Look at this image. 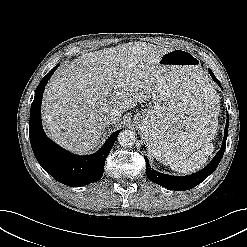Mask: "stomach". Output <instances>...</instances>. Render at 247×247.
Returning <instances> with one entry per match:
<instances>
[{
	"label": "stomach",
	"mask_w": 247,
	"mask_h": 247,
	"mask_svg": "<svg viewBox=\"0 0 247 247\" xmlns=\"http://www.w3.org/2000/svg\"><path fill=\"white\" fill-rule=\"evenodd\" d=\"M163 82L135 125L148 151L165 165L184 160L213 137L219 98L191 52L173 49L158 62Z\"/></svg>",
	"instance_id": "1"
}]
</instances>
